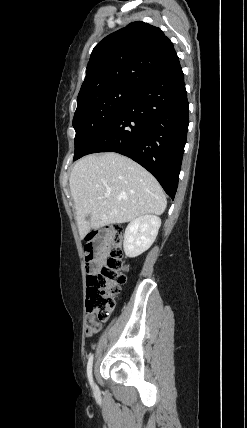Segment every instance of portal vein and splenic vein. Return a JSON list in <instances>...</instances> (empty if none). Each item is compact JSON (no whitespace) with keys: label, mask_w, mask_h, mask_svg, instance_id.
<instances>
[{"label":"portal vein and splenic vein","mask_w":247,"mask_h":428,"mask_svg":"<svg viewBox=\"0 0 247 428\" xmlns=\"http://www.w3.org/2000/svg\"><path fill=\"white\" fill-rule=\"evenodd\" d=\"M105 197L107 198V197H109V195H108V194H106V195H105Z\"/></svg>","instance_id":"obj_1"}]
</instances>
